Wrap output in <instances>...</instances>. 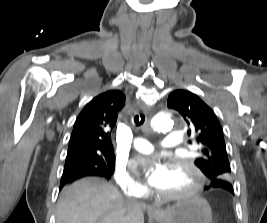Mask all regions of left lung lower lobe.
Returning <instances> with one entry per match:
<instances>
[{"label":"left lung lower lobe","instance_id":"left-lung-lower-lobe-1","mask_svg":"<svg viewBox=\"0 0 267 223\" xmlns=\"http://www.w3.org/2000/svg\"><path fill=\"white\" fill-rule=\"evenodd\" d=\"M209 187H212L213 190H216V195H233L234 194V190L230 182L214 181L211 183ZM209 187H206V189Z\"/></svg>","mask_w":267,"mask_h":223}]
</instances>
